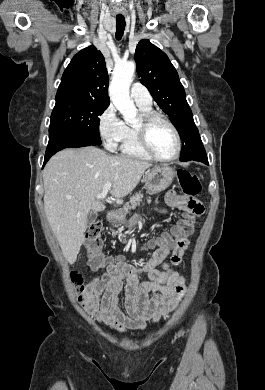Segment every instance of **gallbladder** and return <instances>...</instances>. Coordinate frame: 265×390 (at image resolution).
I'll return each instance as SVG.
<instances>
[{"mask_svg":"<svg viewBox=\"0 0 265 390\" xmlns=\"http://www.w3.org/2000/svg\"><path fill=\"white\" fill-rule=\"evenodd\" d=\"M97 219V212L93 211L91 212L87 217V223L86 226L90 227Z\"/></svg>","mask_w":265,"mask_h":390,"instance_id":"1","label":"gallbladder"}]
</instances>
